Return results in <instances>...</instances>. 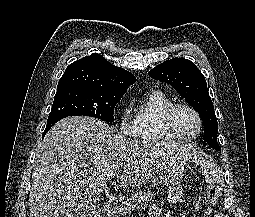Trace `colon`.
Segmentation results:
<instances>
[{
	"label": "colon",
	"mask_w": 255,
	"mask_h": 217,
	"mask_svg": "<svg viewBox=\"0 0 255 217\" xmlns=\"http://www.w3.org/2000/svg\"><path fill=\"white\" fill-rule=\"evenodd\" d=\"M209 202L217 204L220 197V189L214 182H210L207 188ZM169 199L172 203H182L186 199V191L182 185H173L169 191Z\"/></svg>",
	"instance_id": "colon-1"
}]
</instances>
